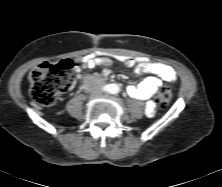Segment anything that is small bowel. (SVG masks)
Masks as SVG:
<instances>
[{"mask_svg":"<svg viewBox=\"0 0 222 187\" xmlns=\"http://www.w3.org/2000/svg\"><path fill=\"white\" fill-rule=\"evenodd\" d=\"M114 63H120L131 69L136 75L150 73L155 76L148 77L137 86H129L127 89L131 97L147 101L146 113L154 114V104L151 101L153 95L162 86V82H174L177 80L176 71L165 63L145 58H131L124 55L107 56L105 54L91 53L84 56L76 66L78 77L84 68L110 67Z\"/></svg>","mask_w":222,"mask_h":187,"instance_id":"c3829d8e","label":"small bowel"}]
</instances>
